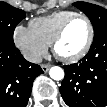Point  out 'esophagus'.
Masks as SVG:
<instances>
[{
  "label": "esophagus",
  "instance_id": "34e87169",
  "mask_svg": "<svg viewBox=\"0 0 107 107\" xmlns=\"http://www.w3.org/2000/svg\"><path fill=\"white\" fill-rule=\"evenodd\" d=\"M51 65L50 64H42L41 68L42 70L46 73L50 69Z\"/></svg>",
  "mask_w": 107,
  "mask_h": 107
}]
</instances>
